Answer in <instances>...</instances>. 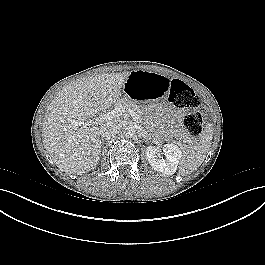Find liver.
Instances as JSON below:
<instances>
[{
    "label": "liver",
    "mask_w": 265,
    "mask_h": 265,
    "mask_svg": "<svg viewBox=\"0 0 265 265\" xmlns=\"http://www.w3.org/2000/svg\"><path fill=\"white\" fill-rule=\"evenodd\" d=\"M129 74L85 77L66 85L54 97L43 121L42 139L61 171L81 175L96 168L101 152L100 128L75 127L72 122H84L115 103Z\"/></svg>",
    "instance_id": "1"
}]
</instances>
